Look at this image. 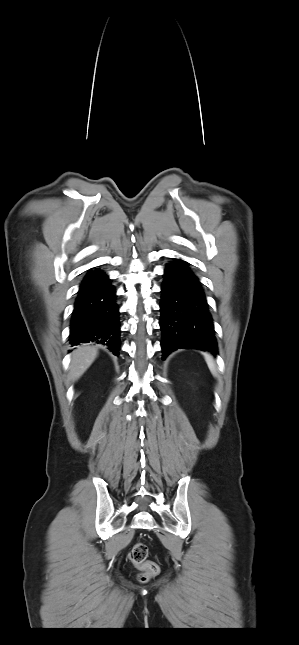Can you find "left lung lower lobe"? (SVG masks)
<instances>
[{"label":"left lung lower lobe","mask_w":299,"mask_h":645,"mask_svg":"<svg viewBox=\"0 0 299 645\" xmlns=\"http://www.w3.org/2000/svg\"><path fill=\"white\" fill-rule=\"evenodd\" d=\"M161 286V347L163 359L180 348L217 352L214 326L202 286L189 264H168Z\"/></svg>","instance_id":"obj_1"}]
</instances>
